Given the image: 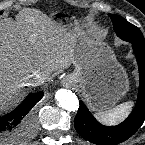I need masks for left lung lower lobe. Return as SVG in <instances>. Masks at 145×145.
<instances>
[{
    "label": "left lung lower lobe",
    "instance_id": "0a47b994",
    "mask_svg": "<svg viewBox=\"0 0 145 145\" xmlns=\"http://www.w3.org/2000/svg\"><path fill=\"white\" fill-rule=\"evenodd\" d=\"M139 69V91L136 105L131 115L115 126L100 124L84 103L75 118V128L85 139L98 145L121 143L133 135L145 120V46L132 43Z\"/></svg>",
    "mask_w": 145,
    "mask_h": 145
}]
</instances>
